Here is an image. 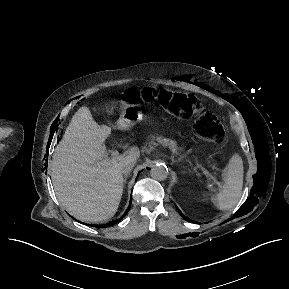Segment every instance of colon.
I'll list each match as a JSON object with an SVG mask.
<instances>
[{"label":"colon","instance_id":"colon-1","mask_svg":"<svg viewBox=\"0 0 289 289\" xmlns=\"http://www.w3.org/2000/svg\"><path fill=\"white\" fill-rule=\"evenodd\" d=\"M154 96L151 88L127 89L122 94V101L138 103L149 101ZM159 99L175 115L189 120L194 132L207 140L217 141L222 137L220 122L215 116L207 112L201 101L191 94H177L170 90H161Z\"/></svg>","mask_w":289,"mask_h":289}]
</instances>
